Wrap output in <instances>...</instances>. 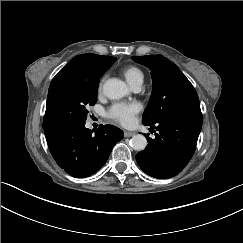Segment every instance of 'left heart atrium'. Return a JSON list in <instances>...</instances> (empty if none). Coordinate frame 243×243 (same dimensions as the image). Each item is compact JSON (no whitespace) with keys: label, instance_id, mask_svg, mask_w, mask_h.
Instances as JSON below:
<instances>
[{"label":"left heart atrium","instance_id":"1","mask_svg":"<svg viewBox=\"0 0 243 243\" xmlns=\"http://www.w3.org/2000/svg\"><path fill=\"white\" fill-rule=\"evenodd\" d=\"M142 109L137 101L118 102L112 104L106 111V116L122 124H129Z\"/></svg>","mask_w":243,"mask_h":243}]
</instances>
